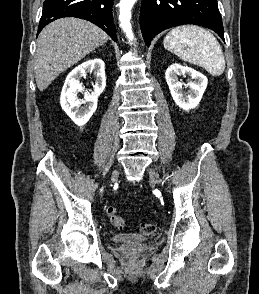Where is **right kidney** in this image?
<instances>
[{
	"mask_svg": "<svg viewBox=\"0 0 259 294\" xmlns=\"http://www.w3.org/2000/svg\"><path fill=\"white\" fill-rule=\"evenodd\" d=\"M87 73H93L95 84L93 91L89 94L84 93V99H78L77 94L84 91L80 83L81 77ZM106 86L105 65L101 59H91L75 67L66 77L61 92V107L78 126H83L88 122L97 109L98 97L104 91ZM84 104V106H81Z\"/></svg>",
	"mask_w": 259,
	"mask_h": 294,
	"instance_id": "right-kidney-1",
	"label": "right kidney"
}]
</instances>
